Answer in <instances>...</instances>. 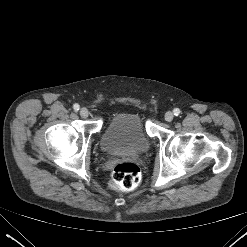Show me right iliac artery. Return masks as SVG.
<instances>
[{"label": "right iliac artery", "mask_w": 247, "mask_h": 247, "mask_svg": "<svg viewBox=\"0 0 247 247\" xmlns=\"http://www.w3.org/2000/svg\"><path fill=\"white\" fill-rule=\"evenodd\" d=\"M79 108H80V106H79L78 104H74V105H73V109H74L75 111H78Z\"/></svg>", "instance_id": "right-iliac-artery-1"}]
</instances>
